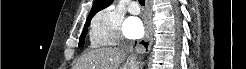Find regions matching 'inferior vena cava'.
<instances>
[{
  "label": "inferior vena cava",
  "instance_id": "inferior-vena-cava-1",
  "mask_svg": "<svg viewBox=\"0 0 246 69\" xmlns=\"http://www.w3.org/2000/svg\"><path fill=\"white\" fill-rule=\"evenodd\" d=\"M121 48L125 49L127 52H130V53H132V51H133V45L132 44L122 45ZM130 61L134 62V63L136 61L134 55H132V54L130 55Z\"/></svg>",
  "mask_w": 246,
  "mask_h": 69
}]
</instances>
